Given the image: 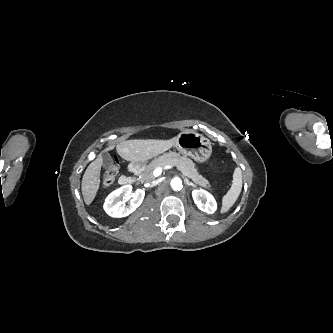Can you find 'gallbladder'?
<instances>
[{
  "label": "gallbladder",
  "instance_id": "1",
  "mask_svg": "<svg viewBox=\"0 0 333 333\" xmlns=\"http://www.w3.org/2000/svg\"><path fill=\"white\" fill-rule=\"evenodd\" d=\"M102 166L105 169L113 170L115 168V163L113 157L108 152L102 153Z\"/></svg>",
  "mask_w": 333,
  "mask_h": 333
}]
</instances>
